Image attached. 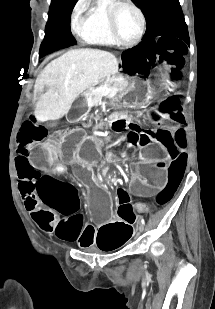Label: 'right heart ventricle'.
Wrapping results in <instances>:
<instances>
[{
    "label": "right heart ventricle",
    "mask_w": 215,
    "mask_h": 309,
    "mask_svg": "<svg viewBox=\"0 0 215 309\" xmlns=\"http://www.w3.org/2000/svg\"><path fill=\"white\" fill-rule=\"evenodd\" d=\"M81 35L91 42H112L107 14H86L80 21ZM90 38V39H88Z\"/></svg>",
    "instance_id": "1"
}]
</instances>
